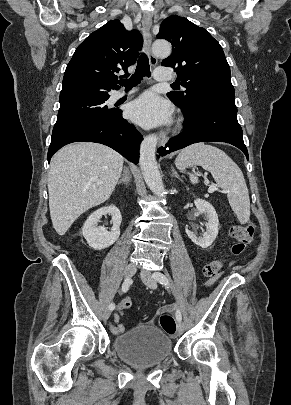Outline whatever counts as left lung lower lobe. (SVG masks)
<instances>
[{"instance_id": "left-lung-lower-lobe-1", "label": "left lung lower lobe", "mask_w": 291, "mask_h": 405, "mask_svg": "<svg viewBox=\"0 0 291 405\" xmlns=\"http://www.w3.org/2000/svg\"><path fill=\"white\" fill-rule=\"evenodd\" d=\"M186 131L158 149V156H165L198 142H226L244 152L241 126L237 121L235 94L214 93L195 97L192 104L181 107Z\"/></svg>"}]
</instances>
